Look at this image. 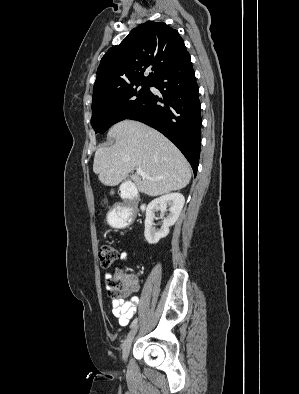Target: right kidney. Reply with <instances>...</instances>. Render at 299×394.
Wrapping results in <instances>:
<instances>
[{
    "instance_id": "ca27d5eb",
    "label": "right kidney",
    "mask_w": 299,
    "mask_h": 394,
    "mask_svg": "<svg viewBox=\"0 0 299 394\" xmlns=\"http://www.w3.org/2000/svg\"><path fill=\"white\" fill-rule=\"evenodd\" d=\"M185 198L180 193H171L163 195L152 200L146 208L145 219V239L149 244H156L160 239L166 237L169 233V227L175 224L180 212L184 206ZM167 205L170 206V214L163 220L161 229L156 230L154 227L155 213L161 211L164 213L167 210Z\"/></svg>"
}]
</instances>
